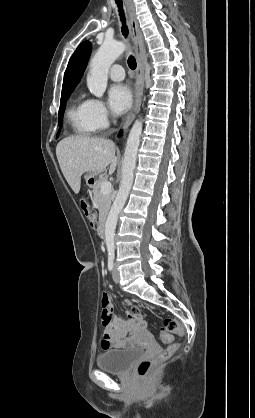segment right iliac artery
Returning a JSON list of instances; mask_svg holds the SVG:
<instances>
[{
    "label": "right iliac artery",
    "instance_id": "1",
    "mask_svg": "<svg viewBox=\"0 0 255 418\" xmlns=\"http://www.w3.org/2000/svg\"><path fill=\"white\" fill-rule=\"evenodd\" d=\"M114 268V257L110 256L108 258V270L112 271Z\"/></svg>",
    "mask_w": 255,
    "mask_h": 418
}]
</instances>
